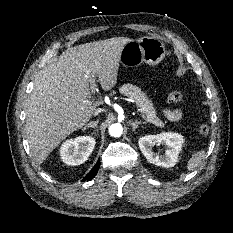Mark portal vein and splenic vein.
Listing matches in <instances>:
<instances>
[{
  "instance_id": "1",
  "label": "portal vein and splenic vein",
  "mask_w": 233,
  "mask_h": 233,
  "mask_svg": "<svg viewBox=\"0 0 233 233\" xmlns=\"http://www.w3.org/2000/svg\"><path fill=\"white\" fill-rule=\"evenodd\" d=\"M89 82H90L91 91H92V92H95V90H96L97 88H96V83H95V78H94V76L90 77Z\"/></svg>"
}]
</instances>
